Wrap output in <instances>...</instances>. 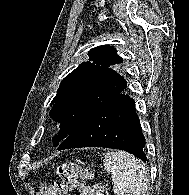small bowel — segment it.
<instances>
[{
	"label": "small bowel",
	"mask_w": 189,
	"mask_h": 195,
	"mask_svg": "<svg viewBox=\"0 0 189 195\" xmlns=\"http://www.w3.org/2000/svg\"><path fill=\"white\" fill-rule=\"evenodd\" d=\"M82 195H95L92 187L82 185L81 187Z\"/></svg>",
	"instance_id": "obj_1"
}]
</instances>
